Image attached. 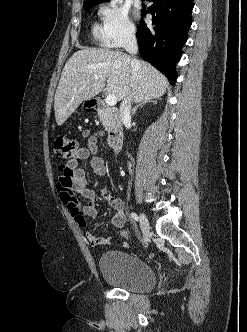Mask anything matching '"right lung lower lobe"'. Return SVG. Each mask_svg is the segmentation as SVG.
I'll list each match as a JSON object with an SVG mask.
<instances>
[{"label":"right lung lower lobe","mask_w":247,"mask_h":332,"mask_svg":"<svg viewBox=\"0 0 247 332\" xmlns=\"http://www.w3.org/2000/svg\"><path fill=\"white\" fill-rule=\"evenodd\" d=\"M147 13L152 24L141 20L136 33L141 57L162 72L174 85L177 79L175 64L180 60L192 24L193 0H150Z\"/></svg>","instance_id":"1"}]
</instances>
